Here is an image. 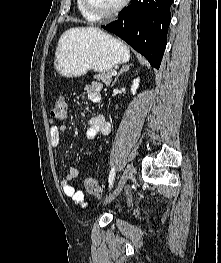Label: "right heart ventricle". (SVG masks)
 Returning <instances> with one entry per match:
<instances>
[{
    "mask_svg": "<svg viewBox=\"0 0 221 263\" xmlns=\"http://www.w3.org/2000/svg\"><path fill=\"white\" fill-rule=\"evenodd\" d=\"M77 8L80 12V14L85 17L87 20L93 21L94 19L90 17V15L84 10L83 6H82V1L81 0H77Z\"/></svg>",
    "mask_w": 221,
    "mask_h": 263,
    "instance_id": "obj_1",
    "label": "right heart ventricle"
}]
</instances>
